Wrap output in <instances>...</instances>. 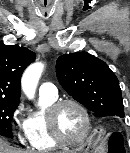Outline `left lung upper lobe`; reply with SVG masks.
Instances as JSON below:
<instances>
[{
    "mask_svg": "<svg viewBox=\"0 0 130 153\" xmlns=\"http://www.w3.org/2000/svg\"><path fill=\"white\" fill-rule=\"evenodd\" d=\"M56 75L64 90L89 110L124 117L119 81L102 60L87 52L64 54L57 60Z\"/></svg>",
    "mask_w": 130,
    "mask_h": 153,
    "instance_id": "obj_1",
    "label": "left lung upper lobe"
}]
</instances>
